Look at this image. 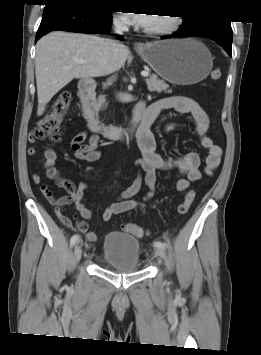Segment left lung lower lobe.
<instances>
[{
  "label": "left lung lower lobe",
  "mask_w": 261,
  "mask_h": 355,
  "mask_svg": "<svg viewBox=\"0 0 261 355\" xmlns=\"http://www.w3.org/2000/svg\"><path fill=\"white\" fill-rule=\"evenodd\" d=\"M179 37H204L220 44L232 56V28L230 21L205 18L196 27L182 25L174 35L162 36V39Z\"/></svg>",
  "instance_id": "obj_1"
}]
</instances>
